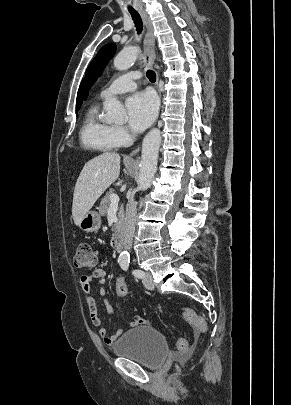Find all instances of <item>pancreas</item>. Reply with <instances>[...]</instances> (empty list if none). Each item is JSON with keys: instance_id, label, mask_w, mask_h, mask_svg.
Masks as SVG:
<instances>
[{"instance_id": "pancreas-1", "label": "pancreas", "mask_w": 291, "mask_h": 405, "mask_svg": "<svg viewBox=\"0 0 291 405\" xmlns=\"http://www.w3.org/2000/svg\"><path fill=\"white\" fill-rule=\"evenodd\" d=\"M114 194L113 190H110L109 192L106 193V195L102 198L101 203H100V207H99V213L101 216H106L109 206H110V202H111V195ZM123 217H124V207L123 205H121L119 207L118 210V222L116 224L113 225L112 227V231L117 233L119 228L121 227L122 221H123Z\"/></svg>"}]
</instances>
